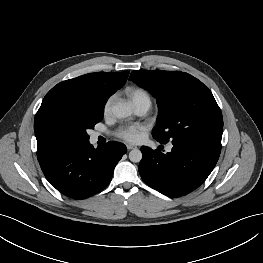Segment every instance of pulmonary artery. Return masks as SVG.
Instances as JSON below:
<instances>
[{"label": "pulmonary artery", "mask_w": 263, "mask_h": 263, "mask_svg": "<svg viewBox=\"0 0 263 263\" xmlns=\"http://www.w3.org/2000/svg\"><path fill=\"white\" fill-rule=\"evenodd\" d=\"M149 107H150L149 105H139V106L136 107V112L139 115H143V114H145L148 111ZM97 136H98V133H95L93 135V138L95 139V138H97ZM167 151L168 152L171 151V146H169L167 148Z\"/></svg>", "instance_id": "obj_1"}]
</instances>
